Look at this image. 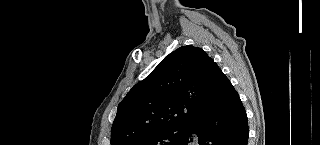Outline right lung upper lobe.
Wrapping results in <instances>:
<instances>
[{"mask_svg": "<svg viewBox=\"0 0 320 145\" xmlns=\"http://www.w3.org/2000/svg\"><path fill=\"white\" fill-rule=\"evenodd\" d=\"M225 76L199 47H179L166 56L119 104L111 145H131L157 130L185 127L210 111Z\"/></svg>", "mask_w": 320, "mask_h": 145, "instance_id": "1", "label": "right lung upper lobe"}]
</instances>
